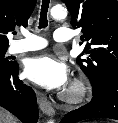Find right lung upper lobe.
Instances as JSON below:
<instances>
[{
	"instance_id": "obj_1",
	"label": "right lung upper lobe",
	"mask_w": 118,
	"mask_h": 123,
	"mask_svg": "<svg viewBox=\"0 0 118 123\" xmlns=\"http://www.w3.org/2000/svg\"><path fill=\"white\" fill-rule=\"evenodd\" d=\"M37 0H0V49L8 48L7 33L28 26Z\"/></svg>"
}]
</instances>
